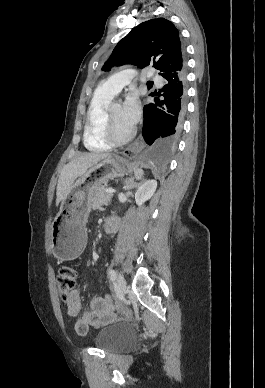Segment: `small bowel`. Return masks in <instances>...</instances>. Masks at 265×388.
<instances>
[{"mask_svg": "<svg viewBox=\"0 0 265 388\" xmlns=\"http://www.w3.org/2000/svg\"><path fill=\"white\" fill-rule=\"evenodd\" d=\"M66 311L69 316L78 317L75 330L80 334H85L91 327L98 328L114 317V306L106 304L101 297L92 298L89 307L82 309L80 293L77 289L70 293L66 302Z\"/></svg>", "mask_w": 265, "mask_h": 388, "instance_id": "obj_1", "label": "small bowel"}]
</instances>
